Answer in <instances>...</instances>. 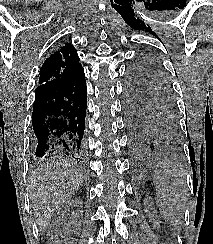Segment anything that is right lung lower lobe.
<instances>
[{
  "label": "right lung lower lobe",
  "mask_w": 213,
  "mask_h": 244,
  "mask_svg": "<svg viewBox=\"0 0 213 244\" xmlns=\"http://www.w3.org/2000/svg\"><path fill=\"white\" fill-rule=\"evenodd\" d=\"M86 102L83 68L65 82L35 89L32 114L35 157L77 161L84 157Z\"/></svg>",
  "instance_id": "right-lung-lower-lobe-1"
}]
</instances>
